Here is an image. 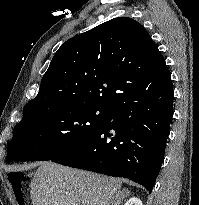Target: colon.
I'll use <instances>...</instances> for the list:
<instances>
[{"label": "colon", "instance_id": "colon-1", "mask_svg": "<svg viewBox=\"0 0 199 205\" xmlns=\"http://www.w3.org/2000/svg\"><path fill=\"white\" fill-rule=\"evenodd\" d=\"M8 179L13 187L14 194L19 200H22V186L26 183V175L22 172H11L8 174Z\"/></svg>", "mask_w": 199, "mask_h": 205}]
</instances>
